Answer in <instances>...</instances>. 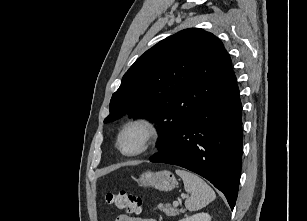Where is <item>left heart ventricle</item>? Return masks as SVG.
Returning <instances> with one entry per match:
<instances>
[{"mask_svg":"<svg viewBox=\"0 0 307 221\" xmlns=\"http://www.w3.org/2000/svg\"><path fill=\"white\" fill-rule=\"evenodd\" d=\"M143 138V130L139 127H132L123 135L121 140V148L126 152L135 151L141 147Z\"/></svg>","mask_w":307,"mask_h":221,"instance_id":"obj_1","label":"left heart ventricle"}]
</instances>
